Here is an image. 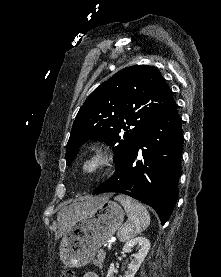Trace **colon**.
I'll use <instances>...</instances> for the list:
<instances>
[{"instance_id":"5ec220e1","label":"colon","mask_w":221,"mask_h":277,"mask_svg":"<svg viewBox=\"0 0 221 277\" xmlns=\"http://www.w3.org/2000/svg\"><path fill=\"white\" fill-rule=\"evenodd\" d=\"M61 277H75L74 273L70 270L64 271Z\"/></svg>"}]
</instances>
